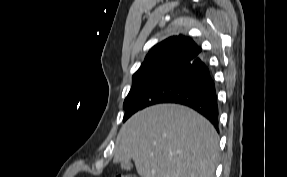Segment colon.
<instances>
[{"mask_svg": "<svg viewBox=\"0 0 287 177\" xmlns=\"http://www.w3.org/2000/svg\"><path fill=\"white\" fill-rule=\"evenodd\" d=\"M116 177H136V176L129 174H118Z\"/></svg>", "mask_w": 287, "mask_h": 177, "instance_id": "5ec220e1", "label": "colon"}]
</instances>
